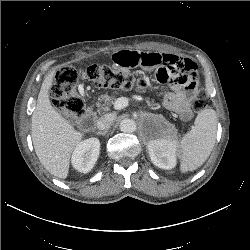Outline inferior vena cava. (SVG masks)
Listing matches in <instances>:
<instances>
[{
    "label": "inferior vena cava",
    "instance_id": "inferior-vena-cava-1",
    "mask_svg": "<svg viewBox=\"0 0 250 250\" xmlns=\"http://www.w3.org/2000/svg\"><path fill=\"white\" fill-rule=\"evenodd\" d=\"M114 119V114H106L100 117L97 121V128L103 131L108 130L112 126Z\"/></svg>",
    "mask_w": 250,
    "mask_h": 250
}]
</instances>
